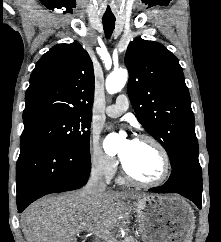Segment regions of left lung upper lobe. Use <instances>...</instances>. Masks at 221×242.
Masks as SVG:
<instances>
[{"instance_id":"5c2ea615","label":"left lung upper lobe","mask_w":221,"mask_h":242,"mask_svg":"<svg viewBox=\"0 0 221 242\" xmlns=\"http://www.w3.org/2000/svg\"><path fill=\"white\" fill-rule=\"evenodd\" d=\"M125 63L136 118L165 148L171 166L198 156L191 99L176 56L158 42L136 38L127 48Z\"/></svg>"}]
</instances>
